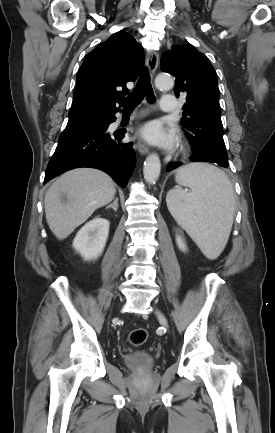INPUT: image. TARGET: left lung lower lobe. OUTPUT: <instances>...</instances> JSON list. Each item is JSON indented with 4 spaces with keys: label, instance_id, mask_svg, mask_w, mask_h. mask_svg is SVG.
Wrapping results in <instances>:
<instances>
[{
    "label": "left lung lower lobe",
    "instance_id": "obj_1",
    "mask_svg": "<svg viewBox=\"0 0 275 433\" xmlns=\"http://www.w3.org/2000/svg\"><path fill=\"white\" fill-rule=\"evenodd\" d=\"M193 161V160H192ZM181 165V163H172V164H170L169 166H168V171H171V170H173V169H175V168H177L178 166H180ZM229 166V164L228 165H224V166H221V167H228Z\"/></svg>",
    "mask_w": 275,
    "mask_h": 433
}]
</instances>
